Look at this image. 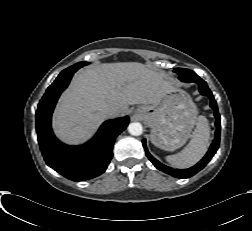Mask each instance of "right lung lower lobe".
Returning a JSON list of instances; mask_svg holds the SVG:
<instances>
[{
    "label": "right lung lower lobe",
    "instance_id": "right-lung-lower-lobe-1",
    "mask_svg": "<svg viewBox=\"0 0 252 231\" xmlns=\"http://www.w3.org/2000/svg\"><path fill=\"white\" fill-rule=\"evenodd\" d=\"M78 67H69L48 87L36 111V131L45 162L64 177L88 180L102 174L112 159L115 138L127 127L128 116L105 121L91 141L80 146L60 142L51 129L56 102Z\"/></svg>",
    "mask_w": 252,
    "mask_h": 231
}]
</instances>
